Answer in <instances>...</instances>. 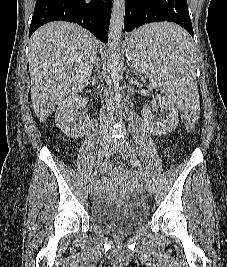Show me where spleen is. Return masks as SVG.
Returning <instances> with one entry per match:
<instances>
[{
    "label": "spleen",
    "mask_w": 227,
    "mask_h": 267,
    "mask_svg": "<svg viewBox=\"0 0 227 267\" xmlns=\"http://www.w3.org/2000/svg\"><path fill=\"white\" fill-rule=\"evenodd\" d=\"M128 35L131 38H126L127 55L131 63H137L141 77L160 81L165 93L183 105L180 110L184 115H198L195 49L182 25L161 19L142 23Z\"/></svg>",
    "instance_id": "spleen-1"
}]
</instances>
